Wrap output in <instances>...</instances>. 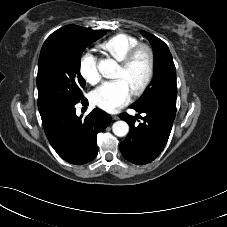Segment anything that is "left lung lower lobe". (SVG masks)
Masks as SVG:
<instances>
[{
	"label": "left lung lower lobe",
	"instance_id": "0a47b994",
	"mask_svg": "<svg viewBox=\"0 0 227 227\" xmlns=\"http://www.w3.org/2000/svg\"><path fill=\"white\" fill-rule=\"evenodd\" d=\"M136 111L135 117L127 113L119 115L130 126L126 139L120 143V151L131 163L145 165L155 160L164 149L176 111L161 106ZM138 119H142L139 124Z\"/></svg>",
	"mask_w": 227,
	"mask_h": 227
}]
</instances>
